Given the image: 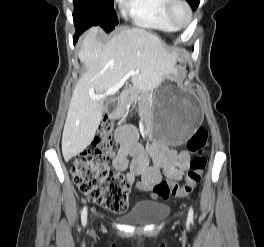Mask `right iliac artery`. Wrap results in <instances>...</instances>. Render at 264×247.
<instances>
[{
  "label": "right iliac artery",
  "mask_w": 264,
  "mask_h": 247,
  "mask_svg": "<svg viewBox=\"0 0 264 247\" xmlns=\"http://www.w3.org/2000/svg\"><path fill=\"white\" fill-rule=\"evenodd\" d=\"M81 221H82L83 226H85L87 223V207L86 206L82 210Z\"/></svg>",
  "instance_id": "obj_1"
}]
</instances>
